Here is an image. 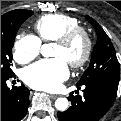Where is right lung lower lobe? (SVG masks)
Here are the masks:
<instances>
[{
    "label": "right lung lower lobe",
    "instance_id": "1",
    "mask_svg": "<svg viewBox=\"0 0 121 121\" xmlns=\"http://www.w3.org/2000/svg\"><path fill=\"white\" fill-rule=\"evenodd\" d=\"M15 74L1 75V121H20L27 113L29 89L23 84L20 87H7L6 81L15 78Z\"/></svg>",
    "mask_w": 121,
    "mask_h": 121
}]
</instances>
